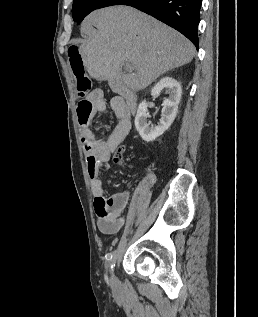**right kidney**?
Instances as JSON below:
<instances>
[{
    "mask_svg": "<svg viewBox=\"0 0 258 317\" xmlns=\"http://www.w3.org/2000/svg\"><path fill=\"white\" fill-rule=\"evenodd\" d=\"M163 88H165V92L169 94V96L163 100L161 118L156 126H153L151 120L147 118L149 114L147 112L146 100H142L137 108V114L134 120L135 126L140 136H142L143 140H147V142H149V140H155L157 136L163 134V132L171 126L177 114L178 104L182 94L180 82H177L172 76H164V78H161V80L153 86L151 90L152 96H158Z\"/></svg>",
    "mask_w": 258,
    "mask_h": 317,
    "instance_id": "right-kidney-1",
    "label": "right kidney"
}]
</instances>
